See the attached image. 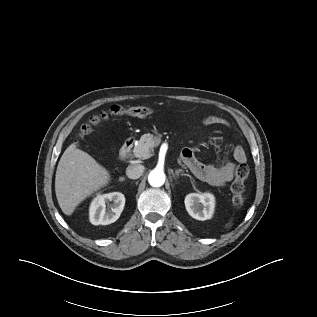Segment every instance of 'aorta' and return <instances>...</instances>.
Returning <instances> with one entry per match:
<instances>
[{
    "mask_svg": "<svg viewBox=\"0 0 317 317\" xmlns=\"http://www.w3.org/2000/svg\"><path fill=\"white\" fill-rule=\"evenodd\" d=\"M165 173L159 168L153 169L148 175V182L153 187H161L165 183Z\"/></svg>",
    "mask_w": 317,
    "mask_h": 317,
    "instance_id": "1",
    "label": "aorta"
}]
</instances>
